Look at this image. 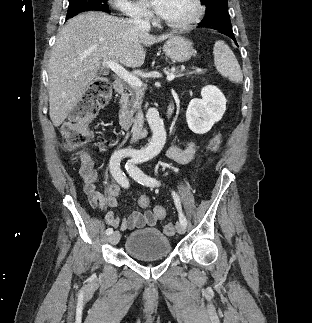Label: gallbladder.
I'll return each mask as SVG.
<instances>
[{"label":"gallbladder","instance_id":"obj_1","mask_svg":"<svg viewBox=\"0 0 312 323\" xmlns=\"http://www.w3.org/2000/svg\"><path fill=\"white\" fill-rule=\"evenodd\" d=\"M102 74H104V76H107L108 74L107 70H103Z\"/></svg>","mask_w":312,"mask_h":323}]
</instances>
